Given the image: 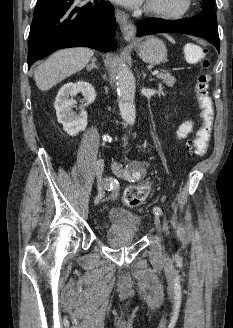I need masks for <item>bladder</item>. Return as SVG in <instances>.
Returning a JSON list of instances; mask_svg holds the SVG:
<instances>
[{
	"label": "bladder",
	"mask_w": 233,
	"mask_h": 328,
	"mask_svg": "<svg viewBox=\"0 0 233 328\" xmlns=\"http://www.w3.org/2000/svg\"><path fill=\"white\" fill-rule=\"evenodd\" d=\"M108 229L112 232H120L135 240L138 234L140 218L135 213L125 208L115 207L107 212Z\"/></svg>",
	"instance_id": "obj_1"
}]
</instances>
